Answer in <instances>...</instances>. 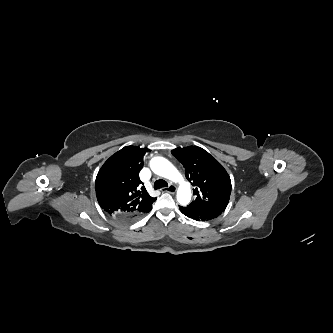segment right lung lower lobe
Instances as JSON below:
<instances>
[{"instance_id":"98d812e1","label":"right lung lower lobe","mask_w":333,"mask_h":333,"mask_svg":"<svg viewBox=\"0 0 333 333\" xmlns=\"http://www.w3.org/2000/svg\"><path fill=\"white\" fill-rule=\"evenodd\" d=\"M134 217H135V215L134 216H129V218H134ZM120 219L125 220L126 218H120Z\"/></svg>"}]
</instances>
